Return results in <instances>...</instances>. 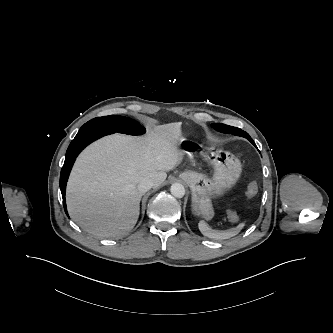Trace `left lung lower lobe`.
I'll return each instance as SVG.
<instances>
[{
  "label": "left lung lower lobe",
  "instance_id": "1",
  "mask_svg": "<svg viewBox=\"0 0 333 333\" xmlns=\"http://www.w3.org/2000/svg\"><path fill=\"white\" fill-rule=\"evenodd\" d=\"M246 138L254 145V146H256L255 145V143H254V141L251 139V137L250 136H246Z\"/></svg>",
  "mask_w": 333,
  "mask_h": 333
}]
</instances>
